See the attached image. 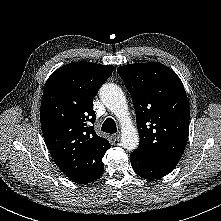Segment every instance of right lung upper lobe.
I'll use <instances>...</instances> for the list:
<instances>
[{
  "label": "right lung upper lobe",
  "instance_id": "1",
  "mask_svg": "<svg viewBox=\"0 0 221 221\" xmlns=\"http://www.w3.org/2000/svg\"><path fill=\"white\" fill-rule=\"evenodd\" d=\"M113 70L112 65L74 62L56 70L44 87L40 120L45 142L59 169L78 184L104 171L102 158L110 143L91 125L93 97Z\"/></svg>",
  "mask_w": 221,
  "mask_h": 221
}]
</instances>
